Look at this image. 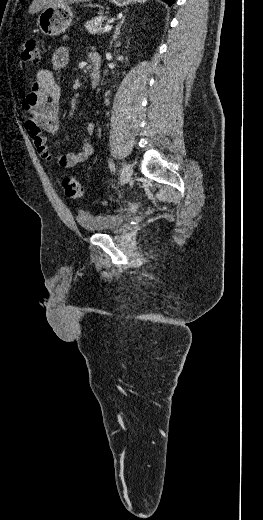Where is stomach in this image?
Here are the masks:
<instances>
[{"mask_svg":"<svg viewBox=\"0 0 263 520\" xmlns=\"http://www.w3.org/2000/svg\"><path fill=\"white\" fill-rule=\"evenodd\" d=\"M145 0H110L116 6L123 7L132 3H141ZM73 12L69 5L51 6L41 11L37 25L47 36H58L64 33L71 25Z\"/></svg>","mask_w":263,"mask_h":520,"instance_id":"obj_1","label":"stomach"}]
</instances>
